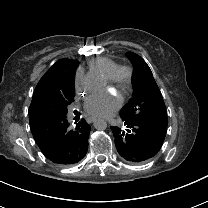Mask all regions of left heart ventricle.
<instances>
[{"mask_svg":"<svg viewBox=\"0 0 208 208\" xmlns=\"http://www.w3.org/2000/svg\"><path fill=\"white\" fill-rule=\"evenodd\" d=\"M104 84H105V81L99 87L103 86ZM98 88L94 89L93 91H96Z\"/></svg>","mask_w":208,"mask_h":208,"instance_id":"b2bd125f","label":"left heart ventricle"}]
</instances>
